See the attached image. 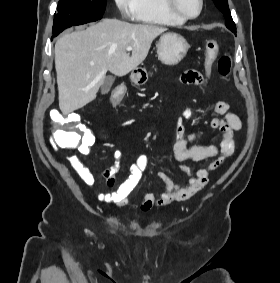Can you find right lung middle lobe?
<instances>
[{
    "mask_svg": "<svg viewBox=\"0 0 280 283\" xmlns=\"http://www.w3.org/2000/svg\"><path fill=\"white\" fill-rule=\"evenodd\" d=\"M105 9L106 0H59L53 34L58 35L74 25L97 21L102 18Z\"/></svg>",
    "mask_w": 280,
    "mask_h": 283,
    "instance_id": "dd1d6c3e",
    "label": "right lung middle lobe"
}]
</instances>
